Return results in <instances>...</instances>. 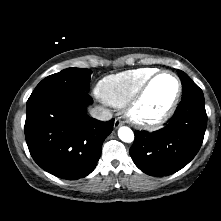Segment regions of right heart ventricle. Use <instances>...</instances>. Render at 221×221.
Wrapping results in <instances>:
<instances>
[{
    "label": "right heart ventricle",
    "mask_w": 221,
    "mask_h": 221,
    "mask_svg": "<svg viewBox=\"0 0 221 221\" xmlns=\"http://www.w3.org/2000/svg\"><path fill=\"white\" fill-rule=\"evenodd\" d=\"M156 71L143 67L106 76L97 84V96L111 106L123 107Z\"/></svg>",
    "instance_id": "e07e8e85"
}]
</instances>
